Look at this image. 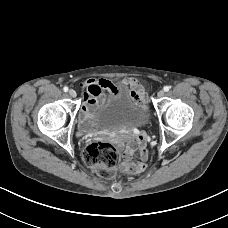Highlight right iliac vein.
Returning a JSON list of instances; mask_svg holds the SVG:
<instances>
[{
	"label": "right iliac vein",
	"mask_w": 228,
	"mask_h": 228,
	"mask_svg": "<svg viewBox=\"0 0 228 228\" xmlns=\"http://www.w3.org/2000/svg\"><path fill=\"white\" fill-rule=\"evenodd\" d=\"M69 95L71 96V97H76V95H77V93H76V91L75 90H73V89H71V90H69Z\"/></svg>",
	"instance_id": "right-iliac-vein-1"
}]
</instances>
